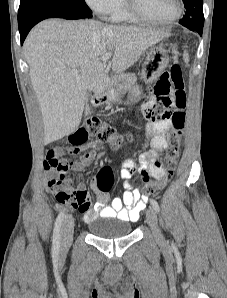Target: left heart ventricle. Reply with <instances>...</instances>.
I'll return each mask as SVG.
<instances>
[{
  "label": "left heart ventricle",
  "instance_id": "b2bd125f",
  "mask_svg": "<svg viewBox=\"0 0 227 298\" xmlns=\"http://www.w3.org/2000/svg\"><path fill=\"white\" fill-rule=\"evenodd\" d=\"M138 4L146 15L157 20L168 19L176 11L174 0H138Z\"/></svg>",
  "mask_w": 227,
  "mask_h": 298
}]
</instances>
